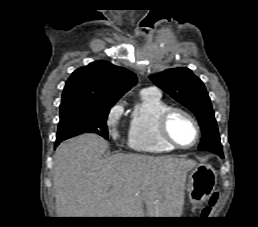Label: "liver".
Segmentation results:
<instances>
[{
  "mask_svg": "<svg viewBox=\"0 0 258 227\" xmlns=\"http://www.w3.org/2000/svg\"><path fill=\"white\" fill-rule=\"evenodd\" d=\"M107 148L96 134L58 146L53 168L58 217H180L195 161L139 154L104 158Z\"/></svg>",
  "mask_w": 258,
  "mask_h": 227,
  "instance_id": "6515ba94",
  "label": "liver"
}]
</instances>
